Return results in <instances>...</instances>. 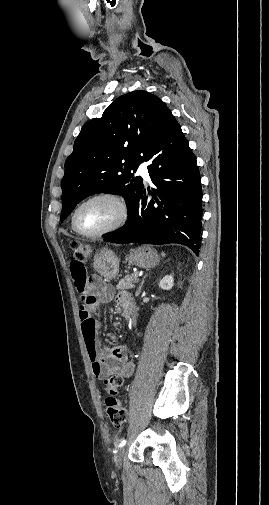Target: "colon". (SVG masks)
Wrapping results in <instances>:
<instances>
[{"mask_svg": "<svg viewBox=\"0 0 269 505\" xmlns=\"http://www.w3.org/2000/svg\"><path fill=\"white\" fill-rule=\"evenodd\" d=\"M91 253V247L84 245H75L73 259H82L83 262H85ZM83 269L86 272L85 266ZM121 384L122 381L116 376L109 377L105 380L106 390L108 393V396L105 399L106 413L111 424L115 427L123 426L126 423L128 416L126 408L115 396L116 391L121 386Z\"/></svg>", "mask_w": 269, "mask_h": 505, "instance_id": "1", "label": "colon"}]
</instances>
